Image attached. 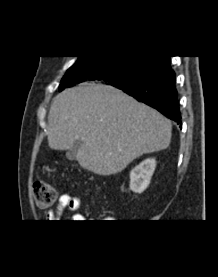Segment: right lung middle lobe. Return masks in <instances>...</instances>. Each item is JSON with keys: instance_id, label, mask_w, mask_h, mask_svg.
Masks as SVG:
<instances>
[{"instance_id": "1", "label": "right lung middle lobe", "mask_w": 218, "mask_h": 277, "mask_svg": "<svg viewBox=\"0 0 218 277\" xmlns=\"http://www.w3.org/2000/svg\"><path fill=\"white\" fill-rule=\"evenodd\" d=\"M153 56H79L61 80L59 91L83 81L92 72L113 86L125 84L137 77L153 61Z\"/></svg>"}]
</instances>
